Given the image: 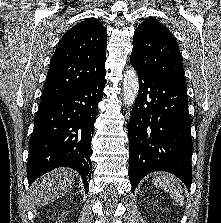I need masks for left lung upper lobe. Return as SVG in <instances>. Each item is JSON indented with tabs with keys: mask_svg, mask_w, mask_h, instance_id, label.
Listing matches in <instances>:
<instances>
[{
	"mask_svg": "<svg viewBox=\"0 0 221 223\" xmlns=\"http://www.w3.org/2000/svg\"><path fill=\"white\" fill-rule=\"evenodd\" d=\"M130 62L152 75L186 84L177 41L155 19H147L136 28Z\"/></svg>",
	"mask_w": 221,
	"mask_h": 223,
	"instance_id": "obj_1",
	"label": "left lung upper lobe"
}]
</instances>
